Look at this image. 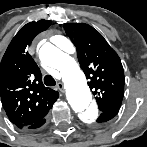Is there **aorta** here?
Returning a JSON list of instances; mask_svg holds the SVG:
<instances>
[{
  "label": "aorta",
  "mask_w": 147,
  "mask_h": 147,
  "mask_svg": "<svg viewBox=\"0 0 147 147\" xmlns=\"http://www.w3.org/2000/svg\"><path fill=\"white\" fill-rule=\"evenodd\" d=\"M64 44L73 49V45L66 38ZM40 59L44 64L59 71L66 87V96L71 108L84 121H93L98 114L97 107L92 101L86 77L74 58L54 45L46 43L40 49Z\"/></svg>",
  "instance_id": "1"
}]
</instances>
